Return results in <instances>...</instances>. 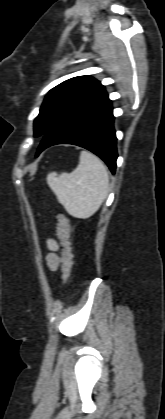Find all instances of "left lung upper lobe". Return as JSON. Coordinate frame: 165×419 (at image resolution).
<instances>
[{"label": "left lung upper lobe", "instance_id": "left-lung-upper-lobe-1", "mask_svg": "<svg viewBox=\"0 0 165 419\" xmlns=\"http://www.w3.org/2000/svg\"><path fill=\"white\" fill-rule=\"evenodd\" d=\"M104 86L90 76L68 79L46 95L34 121V136H45L74 107L104 91Z\"/></svg>", "mask_w": 165, "mask_h": 419}]
</instances>
